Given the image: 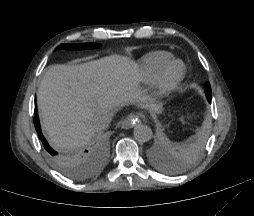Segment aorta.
Instances as JSON below:
<instances>
[{
    "label": "aorta",
    "instance_id": "aorta-1",
    "mask_svg": "<svg viewBox=\"0 0 254 216\" xmlns=\"http://www.w3.org/2000/svg\"><path fill=\"white\" fill-rule=\"evenodd\" d=\"M134 137L138 142H147L152 138V129L144 124H137L133 131Z\"/></svg>",
    "mask_w": 254,
    "mask_h": 216
}]
</instances>
